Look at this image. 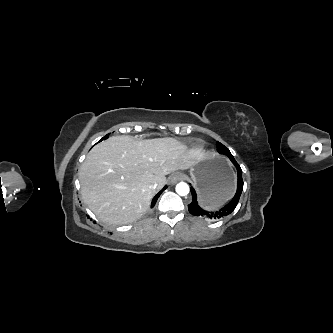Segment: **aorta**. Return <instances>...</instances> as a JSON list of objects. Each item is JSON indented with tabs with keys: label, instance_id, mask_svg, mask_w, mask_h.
Wrapping results in <instances>:
<instances>
[{
	"label": "aorta",
	"instance_id": "obj_1",
	"mask_svg": "<svg viewBox=\"0 0 333 333\" xmlns=\"http://www.w3.org/2000/svg\"><path fill=\"white\" fill-rule=\"evenodd\" d=\"M176 192L180 195V196H185L189 193V186L187 183L185 182H180L176 185Z\"/></svg>",
	"mask_w": 333,
	"mask_h": 333
}]
</instances>
